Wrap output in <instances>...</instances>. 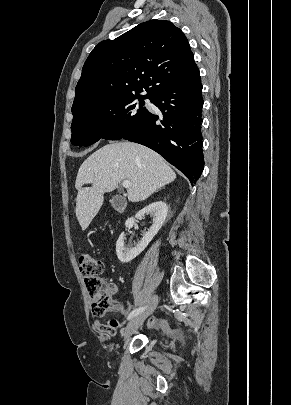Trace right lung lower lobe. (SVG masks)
Wrapping results in <instances>:
<instances>
[{"mask_svg":"<svg viewBox=\"0 0 291 405\" xmlns=\"http://www.w3.org/2000/svg\"><path fill=\"white\" fill-rule=\"evenodd\" d=\"M200 74L160 88L150 98L162 112H149L145 120L123 136L162 155L195 184L204 169Z\"/></svg>","mask_w":291,"mask_h":405,"instance_id":"1","label":"right lung lower lobe"}]
</instances>
